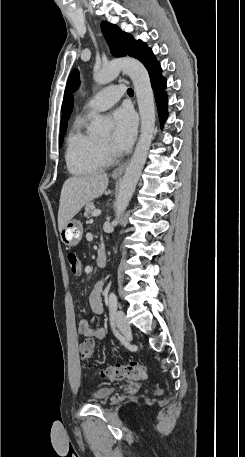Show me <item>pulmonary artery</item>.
<instances>
[{
	"label": "pulmonary artery",
	"instance_id": "pulmonary-artery-1",
	"mask_svg": "<svg viewBox=\"0 0 245 457\" xmlns=\"http://www.w3.org/2000/svg\"><path fill=\"white\" fill-rule=\"evenodd\" d=\"M121 86H104L103 93H96L86 104L84 110L88 114L103 111L114 105L121 95L127 93L126 82H121Z\"/></svg>",
	"mask_w": 245,
	"mask_h": 457
}]
</instances>
